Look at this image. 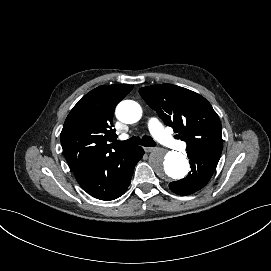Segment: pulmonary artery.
Instances as JSON below:
<instances>
[{"label": "pulmonary artery", "instance_id": "pulmonary-artery-1", "mask_svg": "<svg viewBox=\"0 0 271 271\" xmlns=\"http://www.w3.org/2000/svg\"><path fill=\"white\" fill-rule=\"evenodd\" d=\"M149 131L154 135L157 141L170 149H176L177 151H185L188 145L185 142L174 140L161 126L160 120L158 118H151L149 120ZM121 141L128 139L127 135H121L118 138Z\"/></svg>", "mask_w": 271, "mask_h": 271}]
</instances>
